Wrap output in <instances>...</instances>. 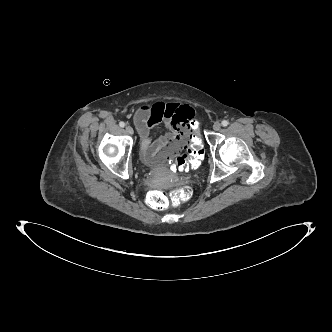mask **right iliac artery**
<instances>
[{
	"label": "right iliac artery",
	"mask_w": 332,
	"mask_h": 332,
	"mask_svg": "<svg viewBox=\"0 0 332 332\" xmlns=\"http://www.w3.org/2000/svg\"><path fill=\"white\" fill-rule=\"evenodd\" d=\"M119 125H120V127H124V126H125V123H124L123 121H121V122L119 123Z\"/></svg>",
	"instance_id": "right-iliac-artery-1"
}]
</instances>
